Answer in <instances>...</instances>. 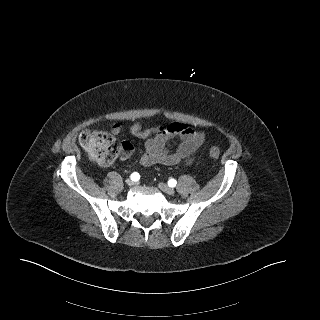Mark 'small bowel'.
Listing matches in <instances>:
<instances>
[{"instance_id":"obj_1","label":"small bowel","mask_w":320,"mask_h":320,"mask_svg":"<svg viewBox=\"0 0 320 320\" xmlns=\"http://www.w3.org/2000/svg\"><path fill=\"white\" fill-rule=\"evenodd\" d=\"M120 131L118 125L112 127L114 134H119ZM130 133L145 140L144 152L140 158L141 165L145 167L156 164L172 166L182 161L189 165L205 141L203 132L180 123L144 128L136 122L131 125ZM171 143L176 144L175 151L169 149ZM122 145V157L126 159L132 152V145L127 141H124Z\"/></svg>"}]
</instances>
